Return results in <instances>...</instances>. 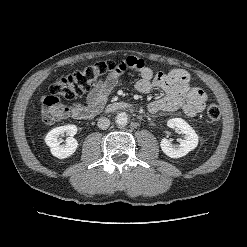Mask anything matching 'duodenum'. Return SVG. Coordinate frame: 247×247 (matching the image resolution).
<instances>
[{"label":"duodenum","instance_id":"duodenum-1","mask_svg":"<svg viewBox=\"0 0 247 247\" xmlns=\"http://www.w3.org/2000/svg\"><path fill=\"white\" fill-rule=\"evenodd\" d=\"M130 107H131V105L127 102H115V103H111V104L107 105L106 111L107 112H115V111H119V110L129 109Z\"/></svg>","mask_w":247,"mask_h":247}]
</instances>
